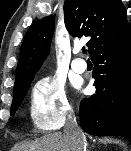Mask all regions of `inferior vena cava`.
I'll return each mask as SVG.
<instances>
[{"mask_svg": "<svg viewBox=\"0 0 131 151\" xmlns=\"http://www.w3.org/2000/svg\"><path fill=\"white\" fill-rule=\"evenodd\" d=\"M64 135L71 141L75 151H86V137L79 128L73 113L67 116Z\"/></svg>", "mask_w": 131, "mask_h": 151, "instance_id": "inferior-vena-cava-1", "label": "inferior vena cava"}]
</instances>
